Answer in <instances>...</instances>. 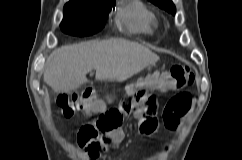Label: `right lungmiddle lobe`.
<instances>
[{
	"label": "right lung middle lobe",
	"instance_id": "dd1d6c3e",
	"mask_svg": "<svg viewBox=\"0 0 242 160\" xmlns=\"http://www.w3.org/2000/svg\"><path fill=\"white\" fill-rule=\"evenodd\" d=\"M114 0H96L86 4H66L61 29L67 34L88 36L103 27Z\"/></svg>",
	"mask_w": 242,
	"mask_h": 160
}]
</instances>
